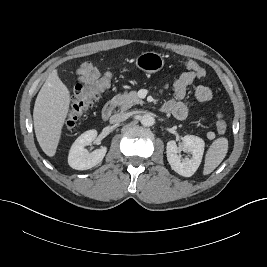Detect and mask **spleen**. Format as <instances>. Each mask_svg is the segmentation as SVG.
<instances>
[{
    "label": "spleen",
    "mask_w": 267,
    "mask_h": 267,
    "mask_svg": "<svg viewBox=\"0 0 267 267\" xmlns=\"http://www.w3.org/2000/svg\"><path fill=\"white\" fill-rule=\"evenodd\" d=\"M228 152V140L225 137L217 138L209 147L206 156L203 174L208 175L223 161Z\"/></svg>",
    "instance_id": "3e777b00"
}]
</instances>
